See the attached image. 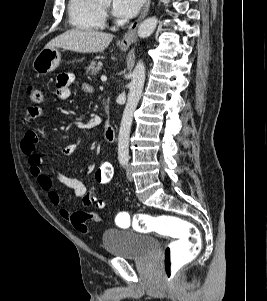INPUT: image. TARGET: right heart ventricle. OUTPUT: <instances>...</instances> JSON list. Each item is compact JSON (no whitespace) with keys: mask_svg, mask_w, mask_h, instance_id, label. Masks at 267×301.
<instances>
[{"mask_svg":"<svg viewBox=\"0 0 267 301\" xmlns=\"http://www.w3.org/2000/svg\"><path fill=\"white\" fill-rule=\"evenodd\" d=\"M70 24L77 30L95 31L104 27V15L98 0H69Z\"/></svg>","mask_w":267,"mask_h":301,"instance_id":"obj_1","label":"right heart ventricle"}]
</instances>
